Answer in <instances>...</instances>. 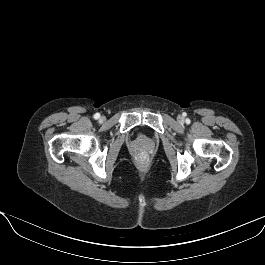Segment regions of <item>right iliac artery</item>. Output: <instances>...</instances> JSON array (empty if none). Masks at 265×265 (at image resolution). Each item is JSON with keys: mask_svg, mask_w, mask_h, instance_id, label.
Instances as JSON below:
<instances>
[{"mask_svg": "<svg viewBox=\"0 0 265 265\" xmlns=\"http://www.w3.org/2000/svg\"><path fill=\"white\" fill-rule=\"evenodd\" d=\"M100 117V114L99 113H96L95 115H94V118L95 119H98Z\"/></svg>", "mask_w": 265, "mask_h": 265, "instance_id": "82829eb1", "label": "right iliac artery"}]
</instances>
